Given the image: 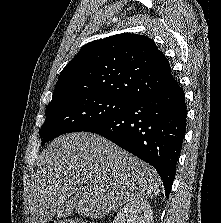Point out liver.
I'll list each match as a JSON object with an SVG mask.
<instances>
[{
	"label": "liver",
	"instance_id": "6515ba94",
	"mask_svg": "<svg viewBox=\"0 0 221 223\" xmlns=\"http://www.w3.org/2000/svg\"><path fill=\"white\" fill-rule=\"evenodd\" d=\"M160 185L152 166L109 140L88 132L68 133L38 157L30 223L66 217L73 210L103 218L125 203L155 197Z\"/></svg>",
	"mask_w": 221,
	"mask_h": 223
}]
</instances>
